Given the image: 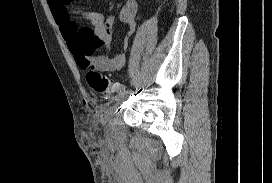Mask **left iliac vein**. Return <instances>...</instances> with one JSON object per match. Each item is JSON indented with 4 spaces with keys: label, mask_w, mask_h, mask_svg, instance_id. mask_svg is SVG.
I'll list each match as a JSON object with an SVG mask.
<instances>
[{
    "label": "left iliac vein",
    "mask_w": 272,
    "mask_h": 183,
    "mask_svg": "<svg viewBox=\"0 0 272 183\" xmlns=\"http://www.w3.org/2000/svg\"><path fill=\"white\" fill-rule=\"evenodd\" d=\"M130 94H131V91H126V93H120L116 98L117 103L122 102Z\"/></svg>",
    "instance_id": "obj_1"
}]
</instances>
